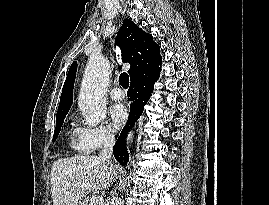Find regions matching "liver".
Returning a JSON list of instances; mask_svg holds the SVG:
<instances>
[{
  "label": "liver",
  "instance_id": "liver-1",
  "mask_svg": "<svg viewBox=\"0 0 269 205\" xmlns=\"http://www.w3.org/2000/svg\"><path fill=\"white\" fill-rule=\"evenodd\" d=\"M115 170L113 164L94 155L56 160L51 169L53 205H74L92 190L108 188Z\"/></svg>",
  "mask_w": 269,
  "mask_h": 205
}]
</instances>
